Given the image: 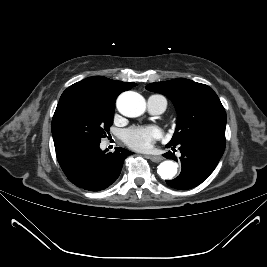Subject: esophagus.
Returning a JSON list of instances; mask_svg holds the SVG:
<instances>
[{"mask_svg":"<svg viewBox=\"0 0 267 267\" xmlns=\"http://www.w3.org/2000/svg\"><path fill=\"white\" fill-rule=\"evenodd\" d=\"M152 162L158 163L160 161H162V157L161 156H155V155H148L147 156Z\"/></svg>","mask_w":267,"mask_h":267,"instance_id":"esophagus-1","label":"esophagus"}]
</instances>
